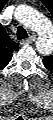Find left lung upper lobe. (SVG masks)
<instances>
[{
	"instance_id": "obj_1",
	"label": "left lung upper lobe",
	"mask_w": 53,
	"mask_h": 120,
	"mask_svg": "<svg viewBox=\"0 0 53 120\" xmlns=\"http://www.w3.org/2000/svg\"><path fill=\"white\" fill-rule=\"evenodd\" d=\"M46 6H48V1L46 0H41ZM49 7V6H48ZM43 63L46 67H49L51 65V56L44 57Z\"/></svg>"
}]
</instances>
